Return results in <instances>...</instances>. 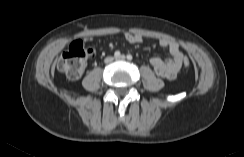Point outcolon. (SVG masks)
Segmentation results:
<instances>
[{"mask_svg": "<svg viewBox=\"0 0 244 157\" xmlns=\"http://www.w3.org/2000/svg\"><path fill=\"white\" fill-rule=\"evenodd\" d=\"M93 56V50L86 48L82 41L73 42L69 49L65 51L57 61V68L60 72L64 73L67 78L71 80L78 79L85 66L87 60ZM190 59L184 57V67L190 66Z\"/></svg>", "mask_w": 244, "mask_h": 157, "instance_id": "1", "label": "colon"}]
</instances>
